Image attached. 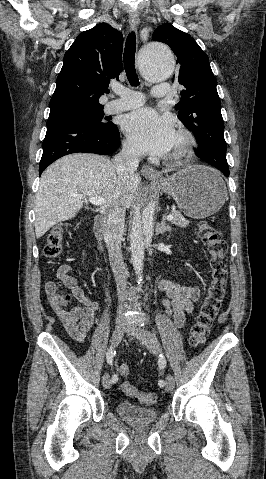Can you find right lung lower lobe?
<instances>
[{
  "mask_svg": "<svg viewBox=\"0 0 266 479\" xmlns=\"http://www.w3.org/2000/svg\"><path fill=\"white\" fill-rule=\"evenodd\" d=\"M120 143V134L115 124L96 127L69 118H49L43 141V155L39 165V175L58 158L77 152L108 155Z\"/></svg>",
  "mask_w": 266,
  "mask_h": 479,
  "instance_id": "1",
  "label": "right lung lower lobe"
}]
</instances>
